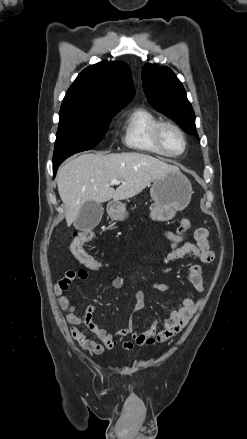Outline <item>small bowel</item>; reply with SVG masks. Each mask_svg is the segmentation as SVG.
<instances>
[{"label": "small bowel", "instance_id": "small-bowel-1", "mask_svg": "<svg viewBox=\"0 0 247 439\" xmlns=\"http://www.w3.org/2000/svg\"><path fill=\"white\" fill-rule=\"evenodd\" d=\"M165 234L172 243H177L178 246L163 258V264H169L189 255H193L205 264H209L214 260L215 255L210 249L209 233L206 228H198L194 232L196 243L186 241L184 236H180L177 231H167ZM75 278L76 273L74 271H67L55 285V294L58 296L61 309L66 312V320L70 324L72 337L82 349L94 354H102L105 350L113 349L119 342L125 350H132L135 346L166 342L184 329L201 303L200 300L195 301L190 297H178L177 307L171 310L165 317L162 329H159L158 321L152 318L150 327L145 331H140L135 329L133 325L134 316L145 306L144 294L141 290H138L135 294L136 302L130 315L128 326L115 333H109L94 323L93 314L95 306L89 305L82 315H78L75 312L74 305L64 294ZM188 280L198 292L205 291V283L200 265L194 264L188 268ZM123 283L124 281L121 277H116L112 285L115 289H120ZM151 287L159 291L170 290L168 285L162 283H152ZM79 326H83L94 340L88 339L78 328ZM123 337H130L132 341H120Z\"/></svg>", "mask_w": 247, "mask_h": 439}]
</instances>
